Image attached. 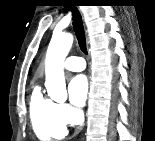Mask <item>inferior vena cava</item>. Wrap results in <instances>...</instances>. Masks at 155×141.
I'll list each match as a JSON object with an SVG mask.
<instances>
[{
  "mask_svg": "<svg viewBox=\"0 0 155 141\" xmlns=\"http://www.w3.org/2000/svg\"><path fill=\"white\" fill-rule=\"evenodd\" d=\"M84 120V117H83V114H81V117H80V122L82 123Z\"/></svg>",
  "mask_w": 155,
  "mask_h": 141,
  "instance_id": "1",
  "label": "inferior vena cava"
}]
</instances>
